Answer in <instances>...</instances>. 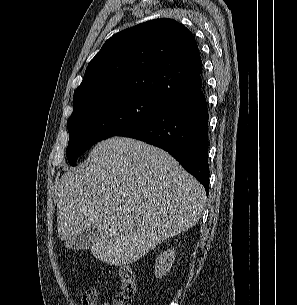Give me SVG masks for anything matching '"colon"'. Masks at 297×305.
I'll return each instance as SVG.
<instances>
[{
    "instance_id": "5ec220e1",
    "label": "colon",
    "mask_w": 297,
    "mask_h": 305,
    "mask_svg": "<svg viewBox=\"0 0 297 305\" xmlns=\"http://www.w3.org/2000/svg\"><path fill=\"white\" fill-rule=\"evenodd\" d=\"M120 287L115 298V305H132L137 292L134 271L129 266L119 270Z\"/></svg>"
}]
</instances>
